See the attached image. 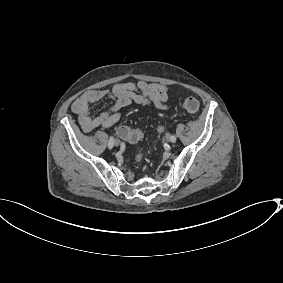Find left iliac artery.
Wrapping results in <instances>:
<instances>
[{
	"mask_svg": "<svg viewBox=\"0 0 283 283\" xmlns=\"http://www.w3.org/2000/svg\"><path fill=\"white\" fill-rule=\"evenodd\" d=\"M171 142H173V143L176 142V137L174 135H171Z\"/></svg>",
	"mask_w": 283,
	"mask_h": 283,
	"instance_id": "obj_1",
	"label": "left iliac artery"
}]
</instances>
